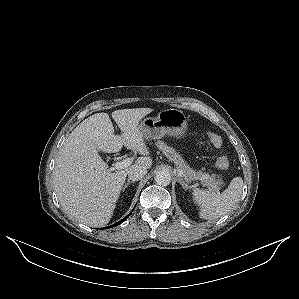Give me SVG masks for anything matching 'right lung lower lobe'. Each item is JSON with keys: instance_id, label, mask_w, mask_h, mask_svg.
<instances>
[{"instance_id": "obj_1", "label": "right lung lower lobe", "mask_w": 299, "mask_h": 299, "mask_svg": "<svg viewBox=\"0 0 299 299\" xmlns=\"http://www.w3.org/2000/svg\"><path fill=\"white\" fill-rule=\"evenodd\" d=\"M130 214H131V213H129L126 217H124L122 220H120V221L117 222L116 224H113V225H111V226L106 227V229H107V228H112V227H115V226L121 224L122 222H124V221L127 219V217H128ZM103 229H104V228H103Z\"/></svg>"}]
</instances>
